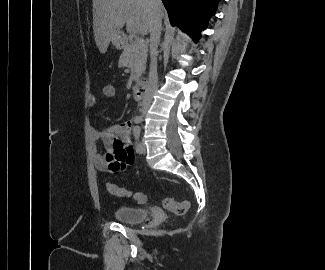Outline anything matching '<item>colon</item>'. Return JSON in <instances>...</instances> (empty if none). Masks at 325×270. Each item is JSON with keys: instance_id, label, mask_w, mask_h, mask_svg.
Returning a JSON list of instances; mask_svg holds the SVG:
<instances>
[{"instance_id": "obj_1", "label": "colon", "mask_w": 325, "mask_h": 270, "mask_svg": "<svg viewBox=\"0 0 325 270\" xmlns=\"http://www.w3.org/2000/svg\"><path fill=\"white\" fill-rule=\"evenodd\" d=\"M102 96L107 100H114L117 97V89L113 84H106L102 88ZM107 190L109 193L125 198H133L137 203L144 204L147 200L145 194L141 192H132L126 188L117 186L115 184L108 183ZM163 207L176 214L183 215L190 208V202L188 200L177 201L174 198L168 197L163 200Z\"/></svg>"}]
</instances>
